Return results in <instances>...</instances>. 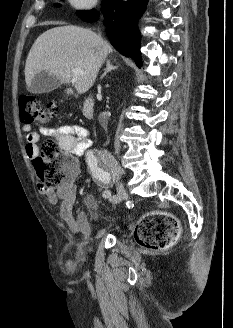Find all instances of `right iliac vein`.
I'll use <instances>...</instances> for the list:
<instances>
[{
	"label": "right iliac vein",
	"mask_w": 233,
	"mask_h": 328,
	"mask_svg": "<svg viewBox=\"0 0 233 328\" xmlns=\"http://www.w3.org/2000/svg\"><path fill=\"white\" fill-rule=\"evenodd\" d=\"M104 156L111 167L113 180L116 183L117 194L109 199L110 204L115 205L126 197V191L121 181L122 170L116 158L109 151L104 150Z\"/></svg>",
	"instance_id": "obj_1"
}]
</instances>
